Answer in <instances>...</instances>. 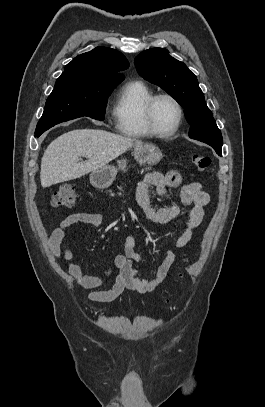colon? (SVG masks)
<instances>
[{
  "label": "colon",
  "mask_w": 265,
  "mask_h": 407,
  "mask_svg": "<svg viewBox=\"0 0 265 407\" xmlns=\"http://www.w3.org/2000/svg\"><path fill=\"white\" fill-rule=\"evenodd\" d=\"M193 165L199 170H206L210 167L211 158L202 153L191 155ZM78 192L73 185L64 184L51 197L53 206H72L78 200Z\"/></svg>",
  "instance_id": "obj_1"
}]
</instances>
